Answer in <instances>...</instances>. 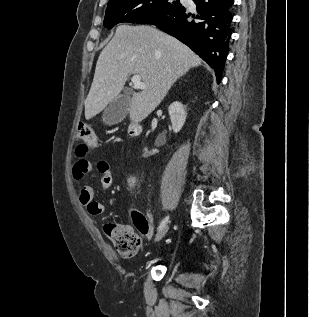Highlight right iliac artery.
Here are the masks:
<instances>
[{
    "label": "right iliac artery",
    "instance_id": "82829eb1",
    "mask_svg": "<svg viewBox=\"0 0 309 317\" xmlns=\"http://www.w3.org/2000/svg\"><path fill=\"white\" fill-rule=\"evenodd\" d=\"M169 220V216H166L160 223L159 227H158V230H161L168 222Z\"/></svg>",
    "mask_w": 309,
    "mask_h": 317
}]
</instances>
